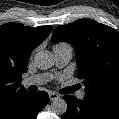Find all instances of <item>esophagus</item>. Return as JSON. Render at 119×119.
Instances as JSON below:
<instances>
[{
    "label": "esophagus",
    "mask_w": 119,
    "mask_h": 119,
    "mask_svg": "<svg viewBox=\"0 0 119 119\" xmlns=\"http://www.w3.org/2000/svg\"><path fill=\"white\" fill-rule=\"evenodd\" d=\"M49 98H50L51 101H53V100L58 99L59 95L54 93V92H51V93H49Z\"/></svg>",
    "instance_id": "obj_1"
}]
</instances>
